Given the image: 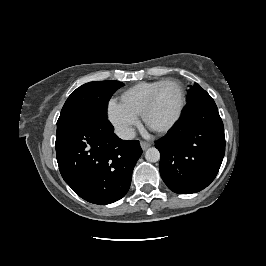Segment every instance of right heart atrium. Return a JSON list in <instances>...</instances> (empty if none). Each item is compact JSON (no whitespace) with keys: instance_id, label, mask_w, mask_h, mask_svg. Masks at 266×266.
<instances>
[{"instance_id":"obj_1","label":"right heart atrium","mask_w":266,"mask_h":266,"mask_svg":"<svg viewBox=\"0 0 266 266\" xmlns=\"http://www.w3.org/2000/svg\"><path fill=\"white\" fill-rule=\"evenodd\" d=\"M106 112L108 120L121 136L130 137L133 134L134 127L139 123L137 114L114 98L108 101Z\"/></svg>"}]
</instances>
